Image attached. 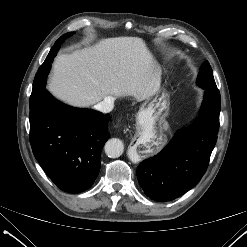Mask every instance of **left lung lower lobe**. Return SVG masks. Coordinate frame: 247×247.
I'll list each match as a JSON object with an SVG mask.
<instances>
[{
	"label": "left lung lower lobe",
	"mask_w": 247,
	"mask_h": 247,
	"mask_svg": "<svg viewBox=\"0 0 247 247\" xmlns=\"http://www.w3.org/2000/svg\"><path fill=\"white\" fill-rule=\"evenodd\" d=\"M220 108V96L205 91L193 125L179 130L161 152L140 163L137 178L148 197L170 201L200 181L217 141Z\"/></svg>",
	"instance_id": "1"
}]
</instances>
